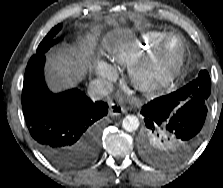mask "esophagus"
<instances>
[{"mask_svg": "<svg viewBox=\"0 0 223 188\" xmlns=\"http://www.w3.org/2000/svg\"><path fill=\"white\" fill-rule=\"evenodd\" d=\"M125 112L126 109L122 105L113 102L110 103L109 113L111 116H119Z\"/></svg>", "mask_w": 223, "mask_h": 188, "instance_id": "34e87169", "label": "esophagus"}]
</instances>
